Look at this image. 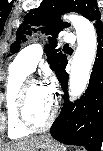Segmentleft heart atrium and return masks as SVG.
Returning <instances> with one entry per match:
<instances>
[{
	"label": "left heart atrium",
	"mask_w": 103,
	"mask_h": 151,
	"mask_svg": "<svg viewBox=\"0 0 103 151\" xmlns=\"http://www.w3.org/2000/svg\"><path fill=\"white\" fill-rule=\"evenodd\" d=\"M54 86V83L52 82L51 83V85L50 86H48V87H45V89L48 91V93L51 95V93H52V87ZM52 96V95H51Z\"/></svg>",
	"instance_id": "1"
}]
</instances>
